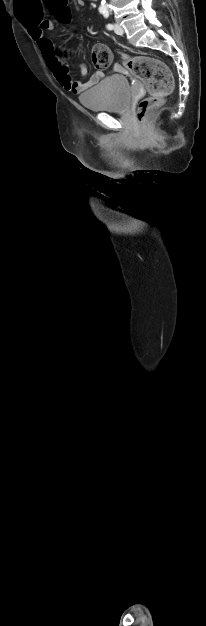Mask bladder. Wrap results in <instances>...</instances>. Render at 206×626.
Segmentation results:
<instances>
[{
	"label": "bladder",
	"mask_w": 206,
	"mask_h": 626,
	"mask_svg": "<svg viewBox=\"0 0 206 626\" xmlns=\"http://www.w3.org/2000/svg\"><path fill=\"white\" fill-rule=\"evenodd\" d=\"M131 97L128 79L123 75H110L81 94L79 101L93 112H122L129 107Z\"/></svg>",
	"instance_id": "bladder-1"
}]
</instances>
